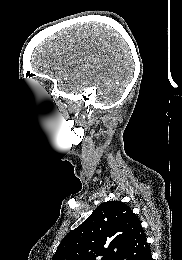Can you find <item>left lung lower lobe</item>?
Instances as JSON below:
<instances>
[{
	"mask_svg": "<svg viewBox=\"0 0 182 260\" xmlns=\"http://www.w3.org/2000/svg\"><path fill=\"white\" fill-rule=\"evenodd\" d=\"M120 260H153L142 226L132 235Z\"/></svg>",
	"mask_w": 182,
	"mask_h": 260,
	"instance_id": "0a47b994",
	"label": "left lung lower lobe"
}]
</instances>
